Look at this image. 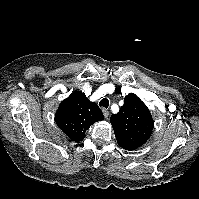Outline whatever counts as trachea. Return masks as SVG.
<instances>
[{
	"label": "trachea",
	"mask_w": 199,
	"mask_h": 199,
	"mask_svg": "<svg viewBox=\"0 0 199 199\" xmlns=\"http://www.w3.org/2000/svg\"><path fill=\"white\" fill-rule=\"evenodd\" d=\"M99 105L102 106V107L108 108V106H109V101H108V99L103 98V99L100 101Z\"/></svg>",
	"instance_id": "obj_1"
}]
</instances>
